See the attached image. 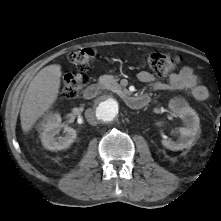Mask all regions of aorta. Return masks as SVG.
I'll use <instances>...</instances> for the list:
<instances>
[{"mask_svg": "<svg viewBox=\"0 0 221 221\" xmlns=\"http://www.w3.org/2000/svg\"><path fill=\"white\" fill-rule=\"evenodd\" d=\"M94 111L101 123L110 124L121 114L122 104L112 96H104L99 100Z\"/></svg>", "mask_w": 221, "mask_h": 221, "instance_id": "1", "label": "aorta"}]
</instances>
